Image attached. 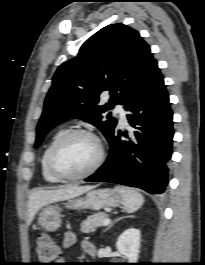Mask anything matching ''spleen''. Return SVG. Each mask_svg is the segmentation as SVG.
<instances>
[{"instance_id": "obj_1", "label": "spleen", "mask_w": 205, "mask_h": 265, "mask_svg": "<svg viewBox=\"0 0 205 265\" xmlns=\"http://www.w3.org/2000/svg\"><path fill=\"white\" fill-rule=\"evenodd\" d=\"M114 190L121 196L124 209L129 212H135L144 203V197L135 189L115 186Z\"/></svg>"}]
</instances>
